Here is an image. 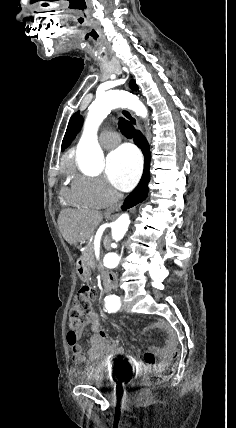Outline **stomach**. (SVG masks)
I'll return each mask as SVG.
<instances>
[{
    "label": "stomach",
    "mask_w": 236,
    "mask_h": 428,
    "mask_svg": "<svg viewBox=\"0 0 236 428\" xmlns=\"http://www.w3.org/2000/svg\"><path fill=\"white\" fill-rule=\"evenodd\" d=\"M91 265L83 264L82 266L77 267L78 278L81 279L82 283H93L94 276L91 274Z\"/></svg>",
    "instance_id": "1"
}]
</instances>
